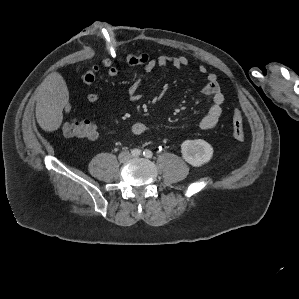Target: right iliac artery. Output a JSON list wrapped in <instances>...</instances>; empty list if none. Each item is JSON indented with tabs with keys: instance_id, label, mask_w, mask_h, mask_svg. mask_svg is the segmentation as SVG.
I'll list each match as a JSON object with an SVG mask.
<instances>
[{
	"instance_id": "right-iliac-artery-1",
	"label": "right iliac artery",
	"mask_w": 299,
	"mask_h": 299,
	"mask_svg": "<svg viewBox=\"0 0 299 299\" xmlns=\"http://www.w3.org/2000/svg\"><path fill=\"white\" fill-rule=\"evenodd\" d=\"M131 154H132L133 156H135V157H138V156L141 155V150H139V149H133V150L131 151Z\"/></svg>"
}]
</instances>
